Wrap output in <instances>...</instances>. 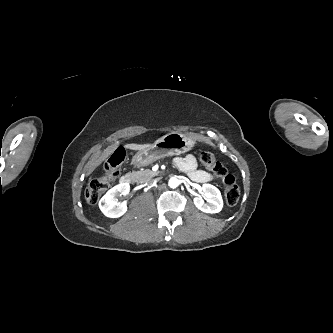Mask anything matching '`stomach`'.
I'll return each instance as SVG.
<instances>
[{
  "label": "stomach",
  "instance_id": "obj_1",
  "mask_svg": "<svg viewBox=\"0 0 333 333\" xmlns=\"http://www.w3.org/2000/svg\"><path fill=\"white\" fill-rule=\"evenodd\" d=\"M195 141L180 132L173 131L157 139L150 147L139 151L132 159V164L143 167L166 156L179 155L190 151Z\"/></svg>",
  "mask_w": 333,
  "mask_h": 333
}]
</instances>
